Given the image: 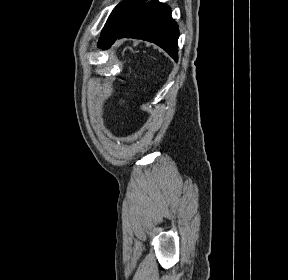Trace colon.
Listing matches in <instances>:
<instances>
[{
  "label": "colon",
  "mask_w": 288,
  "mask_h": 280,
  "mask_svg": "<svg viewBox=\"0 0 288 280\" xmlns=\"http://www.w3.org/2000/svg\"><path fill=\"white\" fill-rule=\"evenodd\" d=\"M121 103H122V104H125V101H124V100H122V101H121Z\"/></svg>",
  "instance_id": "5ec220e1"
}]
</instances>
